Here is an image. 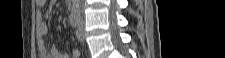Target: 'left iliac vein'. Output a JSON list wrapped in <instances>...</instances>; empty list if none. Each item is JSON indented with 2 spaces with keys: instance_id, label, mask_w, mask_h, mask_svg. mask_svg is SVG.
<instances>
[{
  "instance_id": "4c4485c4",
  "label": "left iliac vein",
  "mask_w": 225,
  "mask_h": 58,
  "mask_svg": "<svg viewBox=\"0 0 225 58\" xmlns=\"http://www.w3.org/2000/svg\"><path fill=\"white\" fill-rule=\"evenodd\" d=\"M79 39H83L84 38V22L82 19L79 20L78 22V30H77Z\"/></svg>"
}]
</instances>
